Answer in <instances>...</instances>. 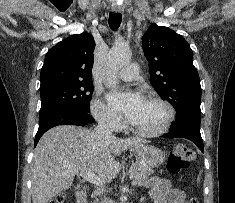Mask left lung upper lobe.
I'll return each instance as SVG.
<instances>
[{"label": "left lung upper lobe", "instance_id": "left-lung-upper-lobe-1", "mask_svg": "<svg viewBox=\"0 0 235 203\" xmlns=\"http://www.w3.org/2000/svg\"><path fill=\"white\" fill-rule=\"evenodd\" d=\"M150 82L175 108L177 120H201V86L187 41L168 27L152 24L142 37Z\"/></svg>", "mask_w": 235, "mask_h": 203}]
</instances>
